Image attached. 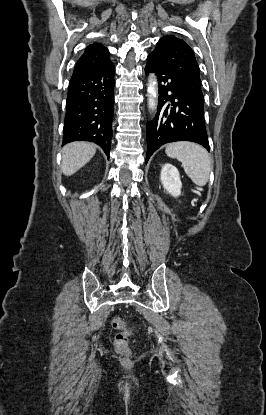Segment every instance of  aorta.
<instances>
[{
  "mask_svg": "<svg viewBox=\"0 0 266 415\" xmlns=\"http://www.w3.org/2000/svg\"><path fill=\"white\" fill-rule=\"evenodd\" d=\"M157 81L156 77L151 74L148 80V107L154 111L157 108Z\"/></svg>",
  "mask_w": 266,
  "mask_h": 415,
  "instance_id": "762f6f07",
  "label": "aorta"
}]
</instances>
